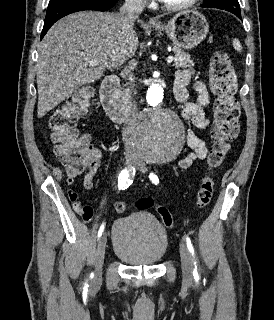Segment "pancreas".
<instances>
[{
	"label": "pancreas",
	"mask_w": 274,
	"mask_h": 320,
	"mask_svg": "<svg viewBox=\"0 0 274 320\" xmlns=\"http://www.w3.org/2000/svg\"><path fill=\"white\" fill-rule=\"evenodd\" d=\"M172 52H174V64L175 68H192L194 62L193 60H190V54H186L184 50H180V48H176V46H173ZM118 98L119 102H122L123 106H127L130 98V92L129 90H123V92H118Z\"/></svg>",
	"instance_id": "pancreas-1"
}]
</instances>
